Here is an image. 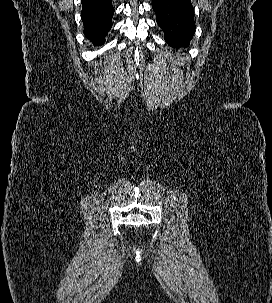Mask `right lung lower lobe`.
Segmentation results:
<instances>
[{"label":"right lung lower lobe","mask_w":272,"mask_h":303,"mask_svg":"<svg viewBox=\"0 0 272 303\" xmlns=\"http://www.w3.org/2000/svg\"><path fill=\"white\" fill-rule=\"evenodd\" d=\"M81 2L84 34L96 46L102 45L107 32L112 27L114 14L112 0H81Z\"/></svg>","instance_id":"1"}]
</instances>
